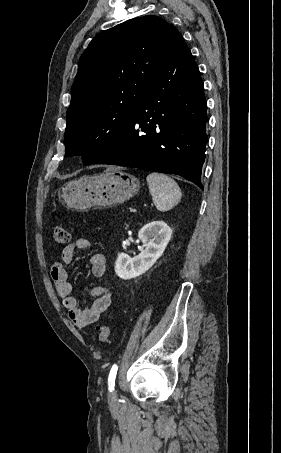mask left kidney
Here are the masks:
<instances>
[{
	"instance_id": "obj_1",
	"label": "left kidney",
	"mask_w": 281,
	"mask_h": 453,
	"mask_svg": "<svg viewBox=\"0 0 281 453\" xmlns=\"http://www.w3.org/2000/svg\"><path fill=\"white\" fill-rule=\"evenodd\" d=\"M172 235V229L164 220H152L140 229L138 237L143 243L141 253L137 257H129L120 253L115 263V273L120 279H135L146 273L157 259L163 255Z\"/></svg>"
}]
</instances>
